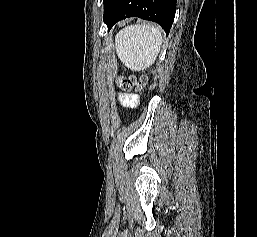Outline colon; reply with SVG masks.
<instances>
[{
    "instance_id": "colon-1",
    "label": "colon",
    "mask_w": 257,
    "mask_h": 237,
    "mask_svg": "<svg viewBox=\"0 0 257 237\" xmlns=\"http://www.w3.org/2000/svg\"><path fill=\"white\" fill-rule=\"evenodd\" d=\"M147 83L146 76H141L139 78L130 76L127 78H121L119 79L120 87L124 90H131L133 88L135 89H142Z\"/></svg>"
}]
</instances>
